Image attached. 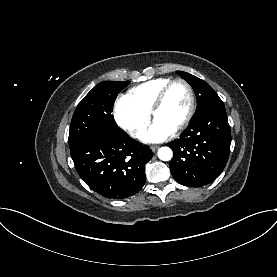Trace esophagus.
Returning <instances> with one entry per match:
<instances>
[{"instance_id": "esophagus-1", "label": "esophagus", "mask_w": 277, "mask_h": 277, "mask_svg": "<svg viewBox=\"0 0 277 277\" xmlns=\"http://www.w3.org/2000/svg\"><path fill=\"white\" fill-rule=\"evenodd\" d=\"M158 148H159L158 145H152V146H151V150H152L153 152H155Z\"/></svg>"}]
</instances>
